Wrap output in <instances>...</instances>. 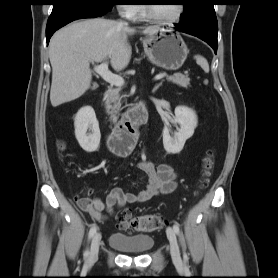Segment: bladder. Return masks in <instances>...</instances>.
<instances>
[{
    "mask_svg": "<svg viewBox=\"0 0 278 278\" xmlns=\"http://www.w3.org/2000/svg\"><path fill=\"white\" fill-rule=\"evenodd\" d=\"M110 247L125 252H146L154 246V239L148 234L127 235L114 232L108 238Z\"/></svg>",
    "mask_w": 278,
    "mask_h": 278,
    "instance_id": "obj_1",
    "label": "bladder"
}]
</instances>
